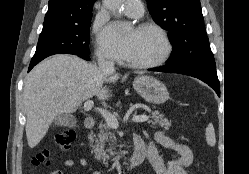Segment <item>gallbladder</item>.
<instances>
[{"label":"gallbladder","mask_w":249,"mask_h":174,"mask_svg":"<svg viewBox=\"0 0 249 174\" xmlns=\"http://www.w3.org/2000/svg\"><path fill=\"white\" fill-rule=\"evenodd\" d=\"M55 125L61 126H68V127H75L76 126V119L74 116L70 114H62L54 119Z\"/></svg>","instance_id":"bac80fb5"}]
</instances>
